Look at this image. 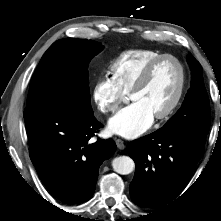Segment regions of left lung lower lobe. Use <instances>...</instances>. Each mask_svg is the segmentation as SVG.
<instances>
[{
    "mask_svg": "<svg viewBox=\"0 0 221 221\" xmlns=\"http://www.w3.org/2000/svg\"><path fill=\"white\" fill-rule=\"evenodd\" d=\"M206 136L192 130H157L129 143L128 154L136 163L132 201L159 208L177 197L204 153Z\"/></svg>",
    "mask_w": 221,
    "mask_h": 221,
    "instance_id": "obj_1",
    "label": "left lung lower lobe"
}]
</instances>
